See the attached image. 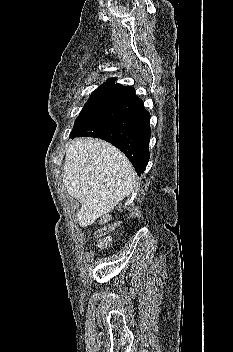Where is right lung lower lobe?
<instances>
[{
  "mask_svg": "<svg viewBox=\"0 0 233 352\" xmlns=\"http://www.w3.org/2000/svg\"><path fill=\"white\" fill-rule=\"evenodd\" d=\"M150 114L136 95L114 105L81 127L70 138L97 137L119 148L140 176L149 161Z\"/></svg>",
  "mask_w": 233,
  "mask_h": 352,
  "instance_id": "1",
  "label": "right lung lower lobe"
}]
</instances>
